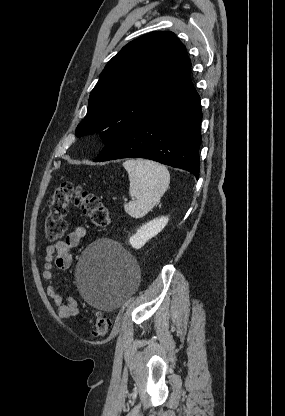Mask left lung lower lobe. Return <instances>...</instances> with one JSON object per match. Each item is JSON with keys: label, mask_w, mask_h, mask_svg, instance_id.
<instances>
[{"label": "left lung lower lobe", "mask_w": 285, "mask_h": 416, "mask_svg": "<svg viewBox=\"0 0 285 416\" xmlns=\"http://www.w3.org/2000/svg\"><path fill=\"white\" fill-rule=\"evenodd\" d=\"M201 120L200 97L190 83L112 138L94 161L140 157L187 170L198 178Z\"/></svg>", "instance_id": "left-lung-lower-lobe-1"}]
</instances>
